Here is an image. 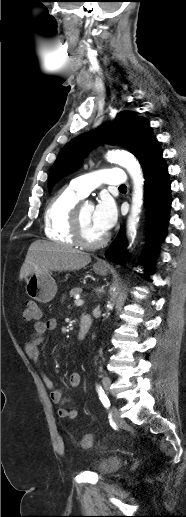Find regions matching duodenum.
Masks as SVG:
<instances>
[{
	"label": "duodenum",
	"mask_w": 186,
	"mask_h": 517,
	"mask_svg": "<svg viewBox=\"0 0 186 517\" xmlns=\"http://www.w3.org/2000/svg\"><path fill=\"white\" fill-rule=\"evenodd\" d=\"M92 326V319L88 314H83L80 319L78 331H77V339L82 342L86 339L90 329Z\"/></svg>",
	"instance_id": "duodenum-1"
}]
</instances>
